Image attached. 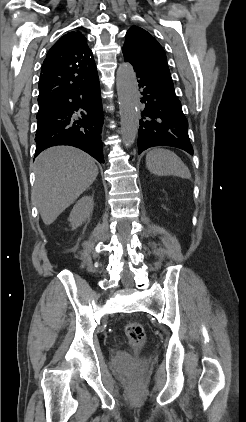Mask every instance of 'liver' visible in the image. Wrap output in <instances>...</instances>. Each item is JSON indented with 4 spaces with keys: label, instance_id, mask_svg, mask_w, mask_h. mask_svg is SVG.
<instances>
[{
    "label": "liver",
    "instance_id": "liver-1",
    "mask_svg": "<svg viewBox=\"0 0 246 422\" xmlns=\"http://www.w3.org/2000/svg\"><path fill=\"white\" fill-rule=\"evenodd\" d=\"M35 204L46 225L52 224L96 179L94 159L69 146L43 151L35 160Z\"/></svg>",
    "mask_w": 246,
    "mask_h": 422
}]
</instances>
